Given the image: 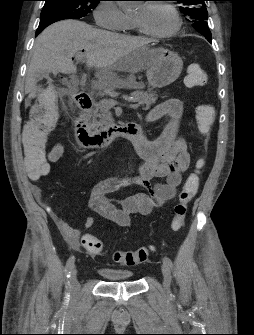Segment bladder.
Segmentation results:
<instances>
[{
  "mask_svg": "<svg viewBox=\"0 0 254 335\" xmlns=\"http://www.w3.org/2000/svg\"><path fill=\"white\" fill-rule=\"evenodd\" d=\"M99 274L105 281H130L133 278V273L129 270L102 267L98 270Z\"/></svg>",
  "mask_w": 254,
  "mask_h": 335,
  "instance_id": "bladder-1",
  "label": "bladder"
}]
</instances>
